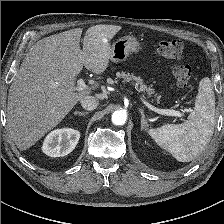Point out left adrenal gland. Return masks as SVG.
I'll use <instances>...</instances> for the list:
<instances>
[{
    "instance_id": "1",
    "label": "left adrenal gland",
    "mask_w": 224,
    "mask_h": 224,
    "mask_svg": "<svg viewBox=\"0 0 224 224\" xmlns=\"http://www.w3.org/2000/svg\"><path fill=\"white\" fill-rule=\"evenodd\" d=\"M139 112L141 114V130L144 129V125L146 123V119H145V115H144V112L141 108H139Z\"/></svg>"
}]
</instances>
